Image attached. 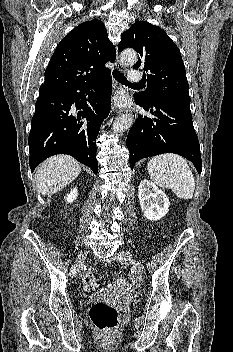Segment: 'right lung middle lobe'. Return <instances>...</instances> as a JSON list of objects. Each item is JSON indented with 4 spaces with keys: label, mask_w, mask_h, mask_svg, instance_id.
Returning <instances> with one entry per match:
<instances>
[{
    "label": "right lung middle lobe",
    "mask_w": 233,
    "mask_h": 352,
    "mask_svg": "<svg viewBox=\"0 0 233 352\" xmlns=\"http://www.w3.org/2000/svg\"><path fill=\"white\" fill-rule=\"evenodd\" d=\"M68 91L59 88H40L39 97L54 96L67 93Z\"/></svg>",
    "instance_id": "1"
}]
</instances>
